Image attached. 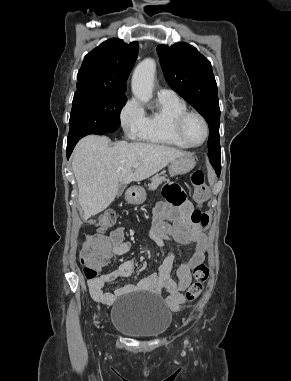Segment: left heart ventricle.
Masks as SVG:
<instances>
[{
  "mask_svg": "<svg viewBox=\"0 0 291 381\" xmlns=\"http://www.w3.org/2000/svg\"><path fill=\"white\" fill-rule=\"evenodd\" d=\"M184 132L191 143H201L205 133L202 121L196 116L188 117L184 124Z\"/></svg>",
  "mask_w": 291,
  "mask_h": 381,
  "instance_id": "left-heart-ventricle-1",
  "label": "left heart ventricle"
}]
</instances>
